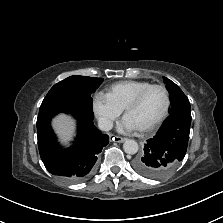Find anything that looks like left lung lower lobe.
Returning a JSON list of instances; mask_svg holds the SVG:
<instances>
[{
	"mask_svg": "<svg viewBox=\"0 0 223 223\" xmlns=\"http://www.w3.org/2000/svg\"><path fill=\"white\" fill-rule=\"evenodd\" d=\"M190 125L191 115L170 114L157 134L147 140L144 152L133 161L134 169L151 179L172 173L186 154Z\"/></svg>",
	"mask_w": 223,
	"mask_h": 223,
	"instance_id": "obj_1",
	"label": "left lung lower lobe"
}]
</instances>
